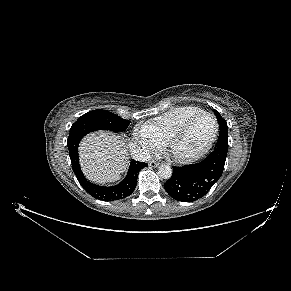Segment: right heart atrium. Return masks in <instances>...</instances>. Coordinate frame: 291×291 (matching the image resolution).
I'll use <instances>...</instances> for the list:
<instances>
[{"instance_id":"1","label":"right heart atrium","mask_w":291,"mask_h":291,"mask_svg":"<svg viewBox=\"0 0 291 291\" xmlns=\"http://www.w3.org/2000/svg\"><path fill=\"white\" fill-rule=\"evenodd\" d=\"M136 140L145 150L155 149V146L141 132L136 134Z\"/></svg>"}]
</instances>
